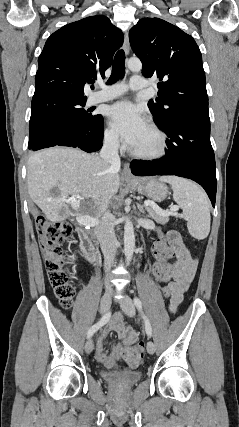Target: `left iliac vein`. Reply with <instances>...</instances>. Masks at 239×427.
I'll use <instances>...</instances> for the list:
<instances>
[{
    "label": "left iliac vein",
    "instance_id": "4c4485c4",
    "mask_svg": "<svg viewBox=\"0 0 239 427\" xmlns=\"http://www.w3.org/2000/svg\"><path fill=\"white\" fill-rule=\"evenodd\" d=\"M120 305L127 316L133 317L135 315V306L129 296L126 295L125 298L120 302ZM146 347L149 354H153L155 352V344L151 340L147 342Z\"/></svg>",
    "mask_w": 239,
    "mask_h": 427
}]
</instances>
